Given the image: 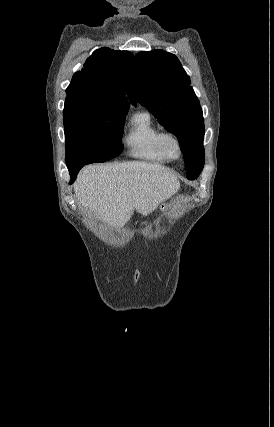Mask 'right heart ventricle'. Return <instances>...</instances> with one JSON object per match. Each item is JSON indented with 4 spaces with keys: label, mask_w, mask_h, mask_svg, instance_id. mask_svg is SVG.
<instances>
[{
    "label": "right heart ventricle",
    "mask_w": 274,
    "mask_h": 427,
    "mask_svg": "<svg viewBox=\"0 0 274 427\" xmlns=\"http://www.w3.org/2000/svg\"><path fill=\"white\" fill-rule=\"evenodd\" d=\"M160 128L148 113L134 117V126L126 133L123 142L129 157L152 164H163L167 159L162 154L158 138Z\"/></svg>",
    "instance_id": "e07e8e85"
}]
</instances>
